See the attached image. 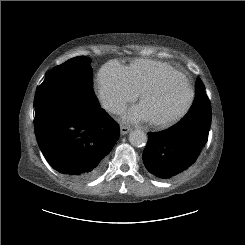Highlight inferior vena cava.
I'll return each instance as SVG.
<instances>
[{
  "mask_svg": "<svg viewBox=\"0 0 245 245\" xmlns=\"http://www.w3.org/2000/svg\"><path fill=\"white\" fill-rule=\"evenodd\" d=\"M105 108L107 111L114 113V114H120L124 112L125 105L123 103L119 102H110L105 105Z\"/></svg>",
  "mask_w": 245,
  "mask_h": 245,
  "instance_id": "1",
  "label": "inferior vena cava"
}]
</instances>
